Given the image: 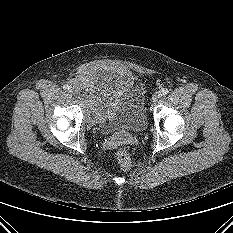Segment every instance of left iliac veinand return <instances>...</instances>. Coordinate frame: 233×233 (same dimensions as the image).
<instances>
[{
    "label": "left iliac vein",
    "instance_id": "left-iliac-vein-1",
    "mask_svg": "<svg viewBox=\"0 0 233 233\" xmlns=\"http://www.w3.org/2000/svg\"><path fill=\"white\" fill-rule=\"evenodd\" d=\"M161 95V92H156L152 97V101L157 102L161 98Z\"/></svg>",
    "mask_w": 233,
    "mask_h": 233
}]
</instances>
